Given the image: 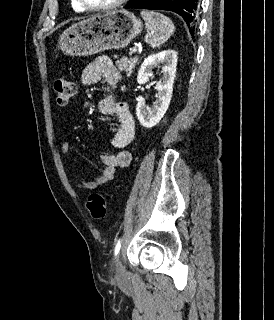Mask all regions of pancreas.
Here are the masks:
<instances>
[{"label":"pancreas","instance_id":"cf45deb5","mask_svg":"<svg viewBox=\"0 0 274 320\" xmlns=\"http://www.w3.org/2000/svg\"><path fill=\"white\" fill-rule=\"evenodd\" d=\"M113 58H118V56H113ZM138 56H134V58H126V56H122L120 60H117L116 64L119 70H123L126 72L127 76H131L135 66L138 64Z\"/></svg>","mask_w":274,"mask_h":320}]
</instances>
